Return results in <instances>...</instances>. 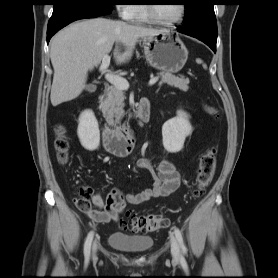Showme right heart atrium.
<instances>
[{"label": "right heart atrium", "instance_id": "d8ad5b80", "mask_svg": "<svg viewBox=\"0 0 278 278\" xmlns=\"http://www.w3.org/2000/svg\"><path fill=\"white\" fill-rule=\"evenodd\" d=\"M133 4H119L116 6L119 16L125 20H130L134 13Z\"/></svg>", "mask_w": 278, "mask_h": 278}]
</instances>
